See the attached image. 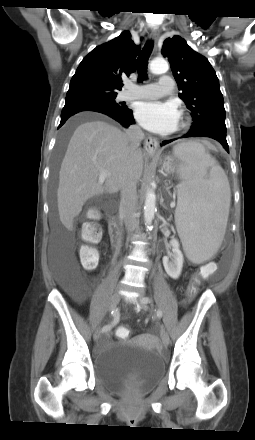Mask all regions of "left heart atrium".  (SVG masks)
I'll return each instance as SVG.
<instances>
[{
  "label": "left heart atrium",
  "mask_w": 255,
  "mask_h": 440,
  "mask_svg": "<svg viewBox=\"0 0 255 440\" xmlns=\"http://www.w3.org/2000/svg\"><path fill=\"white\" fill-rule=\"evenodd\" d=\"M135 116L142 127L158 134L174 131L180 119L179 110L174 103L160 101L140 103Z\"/></svg>",
  "instance_id": "obj_1"
}]
</instances>
